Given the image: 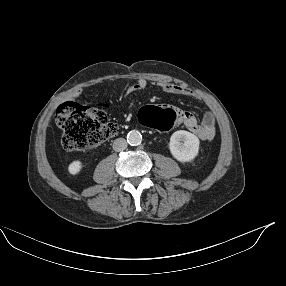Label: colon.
Here are the masks:
<instances>
[{"mask_svg": "<svg viewBox=\"0 0 286 286\" xmlns=\"http://www.w3.org/2000/svg\"><path fill=\"white\" fill-rule=\"evenodd\" d=\"M56 124L62 130V146L68 151L83 152L115 136L118 125L111 122L102 105L84 106L74 101L61 103L56 110ZM140 123L154 132H171L176 121L169 107L148 106L140 114Z\"/></svg>", "mask_w": 286, "mask_h": 286, "instance_id": "5ec220e1", "label": "colon"}]
</instances>
